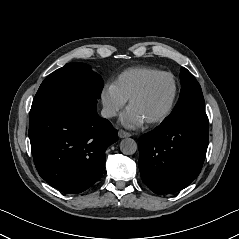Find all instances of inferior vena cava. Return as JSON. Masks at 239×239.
Returning a JSON list of instances; mask_svg holds the SVG:
<instances>
[{"mask_svg":"<svg viewBox=\"0 0 239 239\" xmlns=\"http://www.w3.org/2000/svg\"><path fill=\"white\" fill-rule=\"evenodd\" d=\"M101 115L104 118H111L116 115V111L112 107H104L101 111Z\"/></svg>","mask_w":239,"mask_h":239,"instance_id":"inferior-vena-cava-1","label":"inferior vena cava"}]
</instances>
